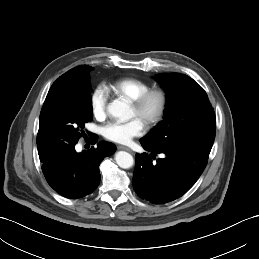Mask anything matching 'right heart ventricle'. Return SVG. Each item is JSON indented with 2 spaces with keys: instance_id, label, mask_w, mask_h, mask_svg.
I'll use <instances>...</instances> for the list:
<instances>
[{
  "instance_id": "e07e8e85",
  "label": "right heart ventricle",
  "mask_w": 259,
  "mask_h": 259,
  "mask_svg": "<svg viewBox=\"0 0 259 259\" xmlns=\"http://www.w3.org/2000/svg\"><path fill=\"white\" fill-rule=\"evenodd\" d=\"M149 87L148 82L133 77L118 79L109 84V89L115 96L124 97L128 100H133Z\"/></svg>"
}]
</instances>
